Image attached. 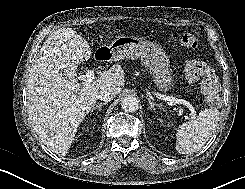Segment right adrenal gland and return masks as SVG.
<instances>
[{"instance_id": "right-adrenal-gland-1", "label": "right adrenal gland", "mask_w": 245, "mask_h": 189, "mask_svg": "<svg viewBox=\"0 0 245 189\" xmlns=\"http://www.w3.org/2000/svg\"><path fill=\"white\" fill-rule=\"evenodd\" d=\"M106 104H107V102H101V103H99V104L93 106V108L91 109V112L94 111V110H96V109H97L98 111H101L102 106H103V105H106Z\"/></svg>"}]
</instances>
